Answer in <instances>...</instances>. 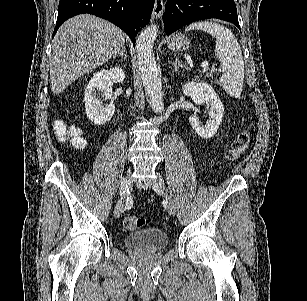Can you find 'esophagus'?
<instances>
[{
    "instance_id": "obj_1",
    "label": "esophagus",
    "mask_w": 307,
    "mask_h": 301,
    "mask_svg": "<svg viewBox=\"0 0 307 301\" xmlns=\"http://www.w3.org/2000/svg\"><path fill=\"white\" fill-rule=\"evenodd\" d=\"M164 10V2L163 0H155L154 9L152 12L151 19L156 20L161 17Z\"/></svg>"
}]
</instances>
